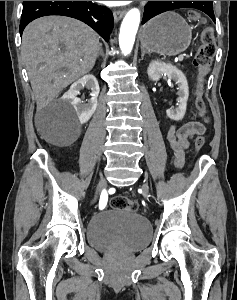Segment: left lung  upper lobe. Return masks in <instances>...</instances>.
I'll return each mask as SVG.
<instances>
[{"label":"left lung upper lobe","instance_id":"1","mask_svg":"<svg viewBox=\"0 0 237 300\" xmlns=\"http://www.w3.org/2000/svg\"><path fill=\"white\" fill-rule=\"evenodd\" d=\"M204 5V1H149L145 7L142 23L144 24L152 17L169 10L178 8H195L200 10Z\"/></svg>","mask_w":237,"mask_h":300}]
</instances>
